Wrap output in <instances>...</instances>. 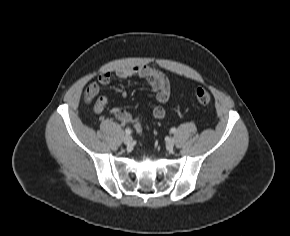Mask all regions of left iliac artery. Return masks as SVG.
Here are the masks:
<instances>
[{
	"mask_svg": "<svg viewBox=\"0 0 290 236\" xmlns=\"http://www.w3.org/2000/svg\"><path fill=\"white\" fill-rule=\"evenodd\" d=\"M170 132L171 133H175L176 132V128H171Z\"/></svg>",
	"mask_w": 290,
	"mask_h": 236,
	"instance_id": "1",
	"label": "left iliac artery"
}]
</instances>
